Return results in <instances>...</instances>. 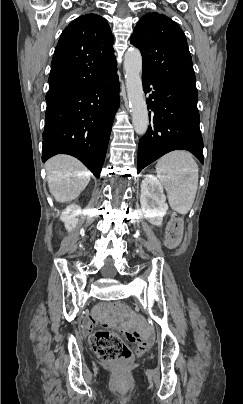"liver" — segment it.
Returning <instances> with one entry per match:
<instances>
[{
  "instance_id": "1",
  "label": "liver",
  "mask_w": 243,
  "mask_h": 404,
  "mask_svg": "<svg viewBox=\"0 0 243 404\" xmlns=\"http://www.w3.org/2000/svg\"><path fill=\"white\" fill-rule=\"evenodd\" d=\"M48 188L56 202H72L90 182L91 172L72 156H54L45 164Z\"/></svg>"
}]
</instances>
